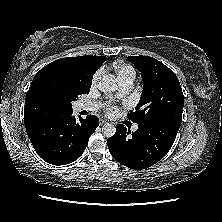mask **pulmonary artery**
I'll return each mask as SVG.
<instances>
[{"label":"pulmonary artery","instance_id":"obj_1","mask_svg":"<svg viewBox=\"0 0 222 222\" xmlns=\"http://www.w3.org/2000/svg\"><path fill=\"white\" fill-rule=\"evenodd\" d=\"M120 84V90H119V94L120 95H124L125 93H127L133 86V81L127 80V81H123ZM97 105L93 104V103H89V102H83V103H79L77 108L78 110L82 111V110H86V111H94L97 109ZM138 129V126L135 125L133 127V131H136Z\"/></svg>","mask_w":222,"mask_h":222}]
</instances>
